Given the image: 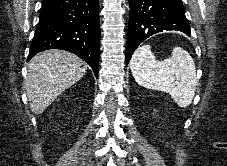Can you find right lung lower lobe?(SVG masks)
Instances as JSON below:
<instances>
[{
  "instance_id": "98d812e1",
  "label": "right lung lower lobe",
  "mask_w": 227,
  "mask_h": 166,
  "mask_svg": "<svg viewBox=\"0 0 227 166\" xmlns=\"http://www.w3.org/2000/svg\"><path fill=\"white\" fill-rule=\"evenodd\" d=\"M61 49L83 59L98 76L99 0H43L28 61L38 52Z\"/></svg>"
}]
</instances>
